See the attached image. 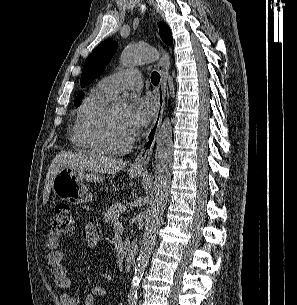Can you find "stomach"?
Returning a JSON list of instances; mask_svg holds the SVG:
<instances>
[{
	"mask_svg": "<svg viewBox=\"0 0 297 305\" xmlns=\"http://www.w3.org/2000/svg\"><path fill=\"white\" fill-rule=\"evenodd\" d=\"M130 177H140L143 171L130 169L128 172ZM104 176L97 172L63 168L52 181L51 189L53 193L70 204L87 203L92 200L85 182H103Z\"/></svg>",
	"mask_w": 297,
	"mask_h": 305,
	"instance_id": "1",
	"label": "stomach"
}]
</instances>
